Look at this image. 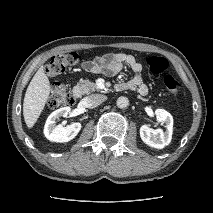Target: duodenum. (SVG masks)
Returning a JSON list of instances; mask_svg holds the SVG:
<instances>
[{"mask_svg":"<svg viewBox=\"0 0 213 213\" xmlns=\"http://www.w3.org/2000/svg\"><path fill=\"white\" fill-rule=\"evenodd\" d=\"M73 95L75 98H80L81 95H82V92L79 88H75L74 91H73Z\"/></svg>","mask_w":213,"mask_h":213,"instance_id":"410a0bca","label":"duodenum"}]
</instances>
